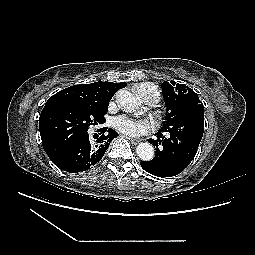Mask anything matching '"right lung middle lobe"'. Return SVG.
Wrapping results in <instances>:
<instances>
[{"label": "right lung middle lobe", "instance_id": "right-lung-middle-lobe-1", "mask_svg": "<svg viewBox=\"0 0 255 255\" xmlns=\"http://www.w3.org/2000/svg\"><path fill=\"white\" fill-rule=\"evenodd\" d=\"M109 103H56L44 107L39 118L41 135L63 145L88 132L89 126L104 123Z\"/></svg>", "mask_w": 255, "mask_h": 255}]
</instances>
